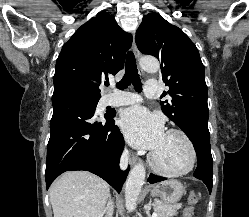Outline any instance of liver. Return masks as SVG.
Returning <instances> with one entry per match:
<instances>
[{
  "label": "liver",
  "instance_id": "6515ba94",
  "mask_svg": "<svg viewBox=\"0 0 249 217\" xmlns=\"http://www.w3.org/2000/svg\"><path fill=\"white\" fill-rule=\"evenodd\" d=\"M54 217H103L109 185L86 171L64 173L49 189Z\"/></svg>",
  "mask_w": 249,
  "mask_h": 217
}]
</instances>
